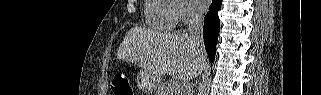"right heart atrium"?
<instances>
[{"instance_id": "obj_1", "label": "right heart atrium", "mask_w": 321, "mask_h": 95, "mask_svg": "<svg viewBox=\"0 0 321 95\" xmlns=\"http://www.w3.org/2000/svg\"><path fill=\"white\" fill-rule=\"evenodd\" d=\"M176 23L188 24L197 18V12L183 0H167Z\"/></svg>"}]
</instances>
